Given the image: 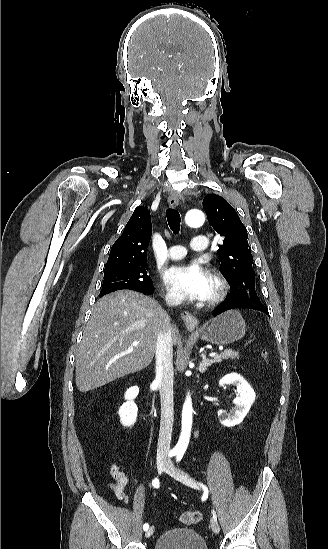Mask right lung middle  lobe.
<instances>
[{"label": "right lung middle lobe", "instance_id": "1", "mask_svg": "<svg viewBox=\"0 0 328 549\" xmlns=\"http://www.w3.org/2000/svg\"><path fill=\"white\" fill-rule=\"evenodd\" d=\"M121 289H130L144 294L154 290L152 279L147 273L146 263H139L104 272V281L100 296Z\"/></svg>", "mask_w": 328, "mask_h": 549}]
</instances>
